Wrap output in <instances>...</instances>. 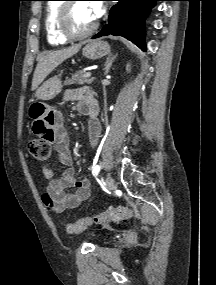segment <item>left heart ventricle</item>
<instances>
[{
  "label": "left heart ventricle",
  "mask_w": 216,
  "mask_h": 285,
  "mask_svg": "<svg viewBox=\"0 0 216 285\" xmlns=\"http://www.w3.org/2000/svg\"><path fill=\"white\" fill-rule=\"evenodd\" d=\"M96 18L93 15L89 3L77 2L74 4L71 15L72 27L77 32L88 30L94 23Z\"/></svg>",
  "instance_id": "obj_1"
}]
</instances>
